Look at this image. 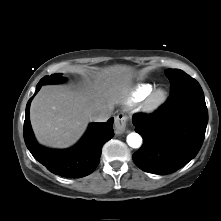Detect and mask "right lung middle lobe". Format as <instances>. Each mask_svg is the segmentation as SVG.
I'll list each match as a JSON object with an SVG mask.
<instances>
[{
  "mask_svg": "<svg viewBox=\"0 0 221 221\" xmlns=\"http://www.w3.org/2000/svg\"><path fill=\"white\" fill-rule=\"evenodd\" d=\"M62 74H52L51 76L43 77L40 82L42 84H54V83H61L66 80V78L61 76Z\"/></svg>",
  "mask_w": 221,
  "mask_h": 221,
  "instance_id": "1",
  "label": "right lung middle lobe"
}]
</instances>
